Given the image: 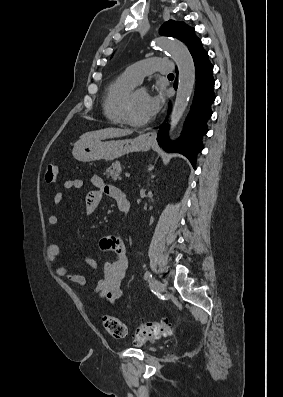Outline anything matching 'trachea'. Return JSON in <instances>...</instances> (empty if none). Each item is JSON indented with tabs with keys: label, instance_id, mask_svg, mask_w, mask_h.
<instances>
[{
	"label": "trachea",
	"instance_id": "1",
	"mask_svg": "<svg viewBox=\"0 0 283 397\" xmlns=\"http://www.w3.org/2000/svg\"><path fill=\"white\" fill-rule=\"evenodd\" d=\"M168 77H174V74L171 73V74L168 75Z\"/></svg>",
	"mask_w": 283,
	"mask_h": 397
}]
</instances>
